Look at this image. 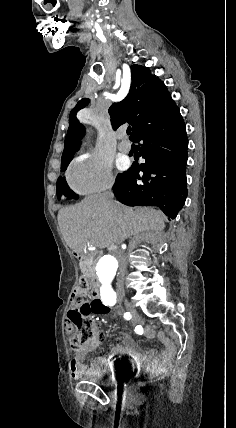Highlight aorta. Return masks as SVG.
Wrapping results in <instances>:
<instances>
[{
  "label": "aorta",
  "instance_id": "762f6f07",
  "mask_svg": "<svg viewBox=\"0 0 236 428\" xmlns=\"http://www.w3.org/2000/svg\"><path fill=\"white\" fill-rule=\"evenodd\" d=\"M118 262L114 256L105 255L101 257L96 265V275L100 283V293L113 292L112 283L117 275Z\"/></svg>",
  "mask_w": 236,
  "mask_h": 428
}]
</instances>
